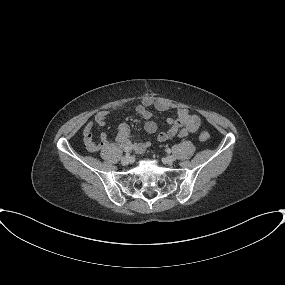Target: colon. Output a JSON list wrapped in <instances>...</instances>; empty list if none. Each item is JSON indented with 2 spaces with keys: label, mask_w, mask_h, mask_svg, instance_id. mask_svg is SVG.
<instances>
[{
  "label": "colon",
  "mask_w": 285,
  "mask_h": 285,
  "mask_svg": "<svg viewBox=\"0 0 285 285\" xmlns=\"http://www.w3.org/2000/svg\"><path fill=\"white\" fill-rule=\"evenodd\" d=\"M200 140L205 142L208 141L210 138V135L207 132H202L199 136Z\"/></svg>",
  "instance_id": "5ec220e1"
}]
</instances>
